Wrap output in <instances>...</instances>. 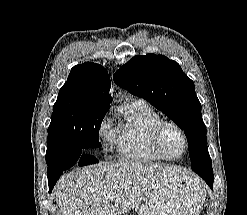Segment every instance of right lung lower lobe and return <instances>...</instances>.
Instances as JSON below:
<instances>
[{"mask_svg":"<svg viewBox=\"0 0 247 215\" xmlns=\"http://www.w3.org/2000/svg\"><path fill=\"white\" fill-rule=\"evenodd\" d=\"M46 162L48 165L49 192H51L64 170L69 169L74 164L84 166L97 163L98 160L87 151L80 152L78 149L71 148L60 151L51 161Z\"/></svg>","mask_w":247,"mask_h":215,"instance_id":"obj_1","label":"right lung lower lobe"}]
</instances>
